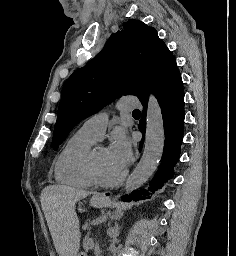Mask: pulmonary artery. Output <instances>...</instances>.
Listing matches in <instances>:
<instances>
[{
  "label": "pulmonary artery",
  "instance_id": "pulmonary-artery-1",
  "mask_svg": "<svg viewBox=\"0 0 236 256\" xmlns=\"http://www.w3.org/2000/svg\"><path fill=\"white\" fill-rule=\"evenodd\" d=\"M119 100L122 101L121 109H138V106L142 105L141 101H136V96H120ZM108 112L100 111L88 119H86L80 128V131L91 136L95 140L102 138L107 122Z\"/></svg>",
  "mask_w": 236,
  "mask_h": 256
}]
</instances>
